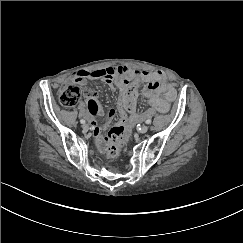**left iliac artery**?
Here are the masks:
<instances>
[{"label": "left iliac artery", "instance_id": "44dca946", "mask_svg": "<svg viewBox=\"0 0 243 243\" xmlns=\"http://www.w3.org/2000/svg\"><path fill=\"white\" fill-rule=\"evenodd\" d=\"M145 123H146V124H151V119H147V120L145 121Z\"/></svg>", "mask_w": 243, "mask_h": 243}]
</instances>
